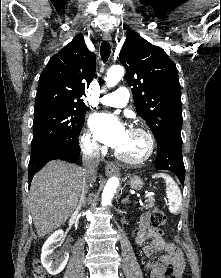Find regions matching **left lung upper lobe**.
<instances>
[{
	"label": "left lung upper lobe",
	"mask_w": 221,
	"mask_h": 278,
	"mask_svg": "<svg viewBox=\"0 0 221 278\" xmlns=\"http://www.w3.org/2000/svg\"><path fill=\"white\" fill-rule=\"evenodd\" d=\"M119 58L126 68L127 82L133 87L136 110L155 139L181 137L182 104L176 65L162 48L133 30L128 31Z\"/></svg>",
	"instance_id": "obj_1"
}]
</instances>
